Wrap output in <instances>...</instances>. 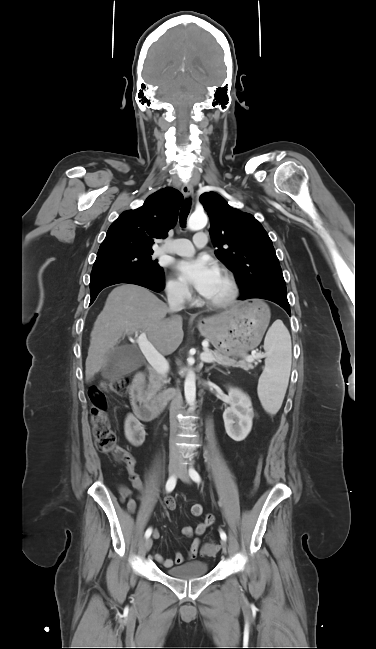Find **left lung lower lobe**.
I'll return each instance as SVG.
<instances>
[{"instance_id":"left-lung-lower-lobe-1","label":"left lung lower lobe","mask_w":376,"mask_h":649,"mask_svg":"<svg viewBox=\"0 0 376 649\" xmlns=\"http://www.w3.org/2000/svg\"><path fill=\"white\" fill-rule=\"evenodd\" d=\"M250 298H260L270 300L279 306H281L289 315H290V306L287 300V296L279 295L269 289L260 288L257 292L239 297L240 300L250 299Z\"/></svg>"}]
</instances>
